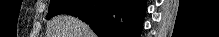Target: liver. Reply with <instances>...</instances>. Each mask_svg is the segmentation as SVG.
<instances>
[{"instance_id": "6515ba94", "label": "liver", "mask_w": 219, "mask_h": 37, "mask_svg": "<svg viewBox=\"0 0 219 37\" xmlns=\"http://www.w3.org/2000/svg\"><path fill=\"white\" fill-rule=\"evenodd\" d=\"M46 37H95L88 25L78 18L59 15L54 17L47 30Z\"/></svg>"}]
</instances>
